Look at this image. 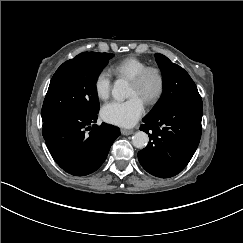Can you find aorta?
<instances>
[{
  "label": "aorta",
  "instance_id": "aorta-1",
  "mask_svg": "<svg viewBox=\"0 0 243 243\" xmlns=\"http://www.w3.org/2000/svg\"><path fill=\"white\" fill-rule=\"evenodd\" d=\"M132 93L128 82L124 79H118L114 83L112 89V96L117 101H123ZM149 142L148 135L143 131H138L132 136V144L134 147L142 149L147 146Z\"/></svg>",
  "mask_w": 243,
  "mask_h": 243
}]
</instances>
